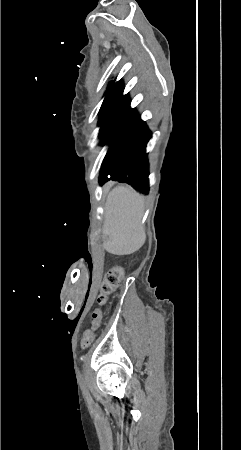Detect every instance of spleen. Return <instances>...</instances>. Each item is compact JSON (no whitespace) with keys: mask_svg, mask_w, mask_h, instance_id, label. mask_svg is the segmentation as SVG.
<instances>
[{"mask_svg":"<svg viewBox=\"0 0 241 450\" xmlns=\"http://www.w3.org/2000/svg\"><path fill=\"white\" fill-rule=\"evenodd\" d=\"M104 224V248L115 256L134 254L145 244L146 234L141 226L144 210L142 196L131 186H116L107 196Z\"/></svg>","mask_w":241,"mask_h":450,"instance_id":"1","label":"spleen"}]
</instances>
